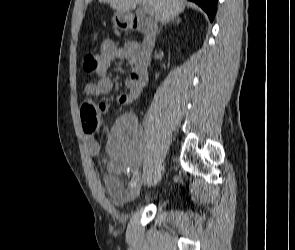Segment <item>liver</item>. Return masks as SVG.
Listing matches in <instances>:
<instances>
[{"instance_id":"6515ba94","label":"liver","mask_w":295,"mask_h":250,"mask_svg":"<svg viewBox=\"0 0 295 250\" xmlns=\"http://www.w3.org/2000/svg\"><path fill=\"white\" fill-rule=\"evenodd\" d=\"M108 3L118 12H130L140 3L150 6L155 14V21L164 23L168 19L178 16L185 9L183 0H99Z\"/></svg>"}]
</instances>
